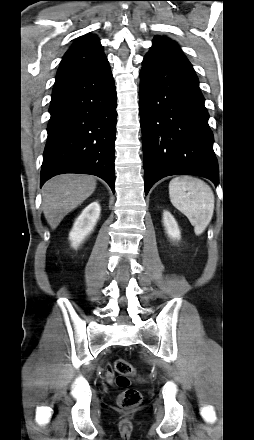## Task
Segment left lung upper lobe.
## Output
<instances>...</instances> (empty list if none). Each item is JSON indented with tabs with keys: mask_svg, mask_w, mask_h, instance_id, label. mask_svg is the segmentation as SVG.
Here are the masks:
<instances>
[{
	"mask_svg": "<svg viewBox=\"0 0 254 440\" xmlns=\"http://www.w3.org/2000/svg\"><path fill=\"white\" fill-rule=\"evenodd\" d=\"M150 52L168 53L176 57L186 58L181 48L174 41L162 36H155Z\"/></svg>",
	"mask_w": 254,
	"mask_h": 440,
	"instance_id": "1",
	"label": "left lung upper lobe"
}]
</instances>
